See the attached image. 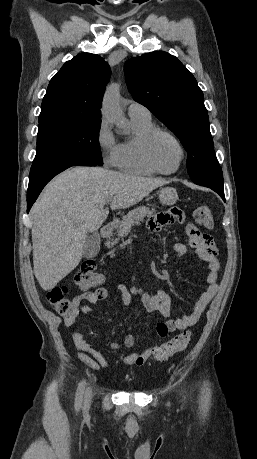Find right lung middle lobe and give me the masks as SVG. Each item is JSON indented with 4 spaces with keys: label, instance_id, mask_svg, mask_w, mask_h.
Instances as JSON below:
<instances>
[{
    "label": "right lung middle lobe",
    "instance_id": "obj_1",
    "mask_svg": "<svg viewBox=\"0 0 257 459\" xmlns=\"http://www.w3.org/2000/svg\"><path fill=\"white\" fill-rule=\"evenodd\" d=\"M101 119L64 112L39 115L37 151L33 164L66 157H80L103 165L99 149Z\"/></svg>",
    "mask_w": 257,
    "mask_h": 459
}]
</instances>
